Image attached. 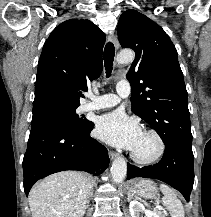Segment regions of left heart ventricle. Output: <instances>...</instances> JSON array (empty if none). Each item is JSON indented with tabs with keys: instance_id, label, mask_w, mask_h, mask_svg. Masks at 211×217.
<instances>
[{
	"instance_id": "1",
	"label": "left heart ventricle",
	"mask_w": 211,
	"mask_h": 217,
	"mask_svg": "<svg viewBox=\"0 0 211 217\" xmlns=\"http://www.w3.org/2000/svg\"><path fill=\"white\" fill-rule=\"evenodd\" d=\"M157 151V142L153 136L142 133L140 140L133 150L138 156L150 157Z\"/></svg>"
}]
</instances>
